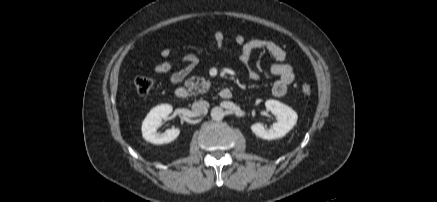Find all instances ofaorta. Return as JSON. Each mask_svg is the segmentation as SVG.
Instances as JSON below:
<instances>
[{
    "label": "aorta",
    "mask_w": 437,
    "mask_h": 202,
    "mask_svg": "<svg viewBox=\"0 0 437 202\" xmlns=\"http://www.w3.org/2000/svg\"><path fill=\"white\" fill-rule=\"evenodd\" d=\"M225 116L224 110L221 107H214L211 110V117L213 120H222Z\"/></svg>",
    "instance_id": "762f6f07"
}]
</instances>
